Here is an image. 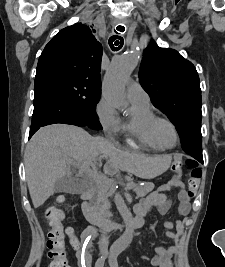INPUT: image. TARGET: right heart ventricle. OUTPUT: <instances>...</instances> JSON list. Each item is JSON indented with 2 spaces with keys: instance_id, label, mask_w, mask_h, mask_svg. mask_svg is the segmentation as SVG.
Returning a JSON list of instances; mask_svg holds the SVG:
<instances>
[{
  "instance_id": "obj_1",
  "label": "right heart ventricle",
  "mask_w": 225,
  "mask_h": 267,
  "mask_svg": "<svg viewBox=\"0 0 225 267\" xmlns=\"http://www.w3.org/2000/svg\"><path fill=\"white\" fill-rule=\"evenodd\" d=\"M130 102L131 110L122 124L123 131L150 148L163 149L152 133L151 123L156 113L149 100H130Z\"/></svg>"
}]
</instances>
